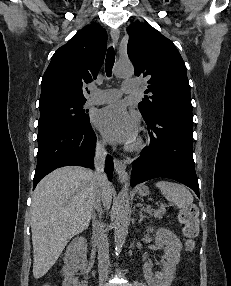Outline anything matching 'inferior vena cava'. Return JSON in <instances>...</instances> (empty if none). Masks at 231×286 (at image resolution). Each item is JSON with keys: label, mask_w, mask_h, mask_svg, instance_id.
Here are the masks:
<instances>
[{"label": "inferior vena cava", "mask_w": 231, "mask_h": 286, "mask_svg": "<svg viewBox=\"0 0 231 286\" xmlns=\"http://www.w3.org/2000/svg\"><path fill=\"white\" fill-rule=\"evenodd\" d=\"M106 158V150L104 142H97L96 151L94 157V165H95V176L97 180L98 187L101 188L105 183H107V177L104 173V164ZM102 196L98 191L96 201H95V209L97 211L99 208L101 209V201ZM102 211V210H101ZM93 237L97 242L98 247V272H99V283L100 286H107L106 281L108 278L109 272V243L106 235V231L104 229V224L98 220H95V216L93 217Z\"/></svg>", "instance_id": "obj_1"}]
</instances>
